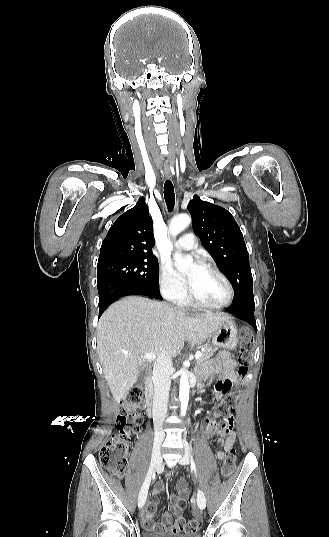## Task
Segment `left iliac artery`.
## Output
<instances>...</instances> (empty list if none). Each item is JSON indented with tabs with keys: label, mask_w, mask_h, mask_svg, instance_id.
Wrapping results in <instances>:
<instances>
[{
	"label": "left iliac artery",
	"mask_w": 329,
	"mask_h": 537,
	"mask_svg": "<svg viewBox=\"0 0 329 537\" xmlns=\"http://www.w3.org/2000/svg\"><path fill=\"white\" fill-rule=\"evenodd\" d=\"M188 450H189V448H188ZM189 452H190V450H189ZM191 467H192V469L194 470V472H195V474H196V465H195V463H194V460H193V457H192V456H191ZM196 476H197V474H196Z\"/></svg>",
	"instance_id": "44dca946"
}]
</instances>
